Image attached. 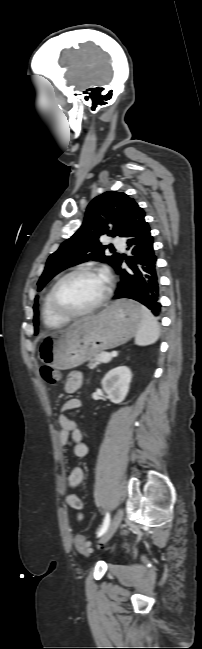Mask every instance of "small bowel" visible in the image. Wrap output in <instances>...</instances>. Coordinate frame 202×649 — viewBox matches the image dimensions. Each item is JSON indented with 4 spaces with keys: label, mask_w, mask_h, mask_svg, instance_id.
I'll use <instances>...</instances> for the list:
<instances>
[{
    "label": "small bowel",
    "mask_w": 202,
    "mask_h": 649,
    "mask_svg": "<svg viewBox=\"0 0 202 649\" xmlns=\"http://www.w3.org/2000/svg\"><path fill=\"white\" fill-rule=\"evenodd\" d=\"M83 382V373L81 371H72L69 373L66 382L65 390L67 392H74L80 388ZM81 407V402L77 398L67 400L62 406V414L59 418L60 431L58 433V443L62 449L60 460L65 461L64 448L69 441L74 445L73 453L76 457H84L88 453V446L82 441V433L77 428L75 422L69 417V414ZM84 478V473L81 467L75 466L71 468L69 476L66 481V487H78ZM67 504L78 511V518L81 520L83 514L80 510L84 507L82 498L75 495H68L66 498Z\"/></svg>",
    "instance_id": "c3829d8e"
}]
</instances>
